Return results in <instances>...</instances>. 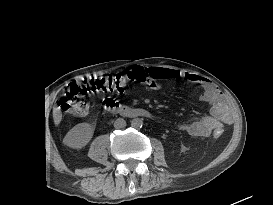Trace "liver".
Listing matches in <instances>:
<instances>
[{
  "instance_id": "liver-1",
  "label": "liver",
  "mask_w": 273,
  "mask_h": 205,
  "mask_svg": "<svg viewBox=\"0 0 273 205\" xmlns=\"http://www.w3.org/2000/svg\"><path fill=\"white\" fill-rule=\"evenodd\" d=\"M61 118H62V116H61L59 110L55 109V111H54V119H55V122L58 123V122L61 120Z\"/></svg>"
}]
</instances>
